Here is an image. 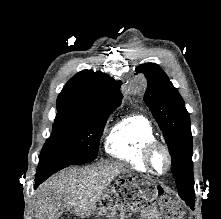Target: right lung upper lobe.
Listing matches in <instances>:
<instances>
[{"label": "right lung upper lobe", "mask_w": 221, "mask_h": 219, "mask_svg": "<svg viewBox=\"0 0 221 219\" xmlns=\"http://www.w3.org/2000/svg\"><path fill=\"white\" fill-rule=\"evenodd\" d=\"M118 83L102 72L83 70L64 86L57 98V111L81 117L111 113L122 98Z\"/></svg>", "instance_id": "1"}]
</instances>
